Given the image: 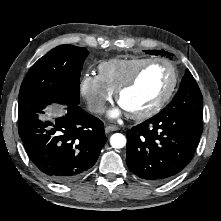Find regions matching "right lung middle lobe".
<instances>
[{"instance_id":"dd1d6c3e","label":"right lung middle lobe","mask_w":221,"mask_h":221,"mask_svg":"<svg viewBox=\"0 0 221 221\" xmlns=\"http://www.w3.org/2000/svg\"><path fill=\"white\" fill-rule=\"evenodd\" d=\"M88 54L86 48L60 45L40 58L21 85L18 120L39 113L52 103L78 105L79 80Z\"/></svg>"}]
</instances>
